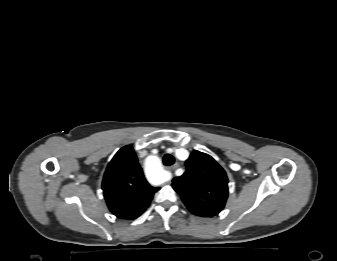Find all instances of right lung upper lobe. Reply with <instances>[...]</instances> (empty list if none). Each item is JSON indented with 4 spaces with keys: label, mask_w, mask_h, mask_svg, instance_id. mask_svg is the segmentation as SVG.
Returning a JSON list of instances; mask_svg holds the SVG:
<instances>
[{
    "label": "right lung upper lobe",
    "mask_w": 337,
    "mask_h": 261,
    "mask_svg": "<svg viewBox=\"0 0 337 261\" xmlns=\"http://www.w3.org/2000/svg\"><path fill=\"white\" fill-rule=\"evenodd\" d=\"M102 189L110 211L122 219H136L159 188L150 186L131 146L121 148L104 173Z\"/></svg>",
    "instance_id": "1"
}]
</instances>
